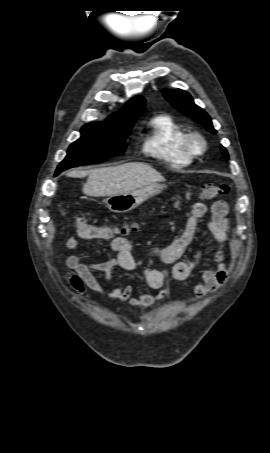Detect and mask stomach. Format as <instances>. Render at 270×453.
I'll return each instance as SVG.
<instances>
[{"instance_id":"stomach-1","label":"stomach","mask_w":270,"mask_h":453,"mask_svg":"<svg viewBox=\"0 0 270 453\" xmlns=\"http://www.w3.org/2000/svg\"><path fill=\"white\" fill-rule=\"evenodd\" d=\"M163 188L164 185L153 183L129 193L109 196L106 198L105 204L112 212L126 213L135 209L150 197L159 194Z\"/></svg>"}]
</instances>
